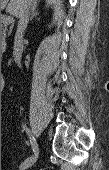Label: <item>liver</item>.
<instances>
[{
    "instance_id": "6515ba94",
    "label": "liver",
    "mask_w": 109,
    "mask_h": 170,
    "mask_svg": "<svg viewBox=\"0 0 109 170\" xmlns=\"http://www.w3.org/2000/svg\"><path fill=\"white\" fill-rule=\"evenodd\" d=\"M9 0H1V7L5 8ZM22 0H10L7 6V12L11 13L15 17H19L21 11Z\"/></svg>"
}]
</instances>
